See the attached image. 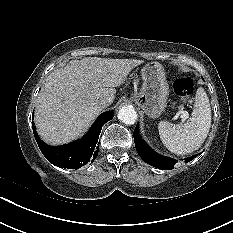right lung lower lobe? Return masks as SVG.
<instances>
[{"mask_svg": "<svg viewBox=\"0 0 233 233\" xmlns=\"http://www.w3.org/2000/svg\"><path fill=\"white\" fill-rule=\"evenodd\" d=\"M113 116L112 111L102 113L81 140L60 147L49 146L40 140L34 122H32V128L42 154L50 163L62 168L79 169L88 162L92 163L97 157L99 150L97 143L102 126Z\"/></svg>", "mask_w": 233, "mask_h": 233, "instance_id": "98d812e1", "label": "right lung lower lobe"}]
</instances>
